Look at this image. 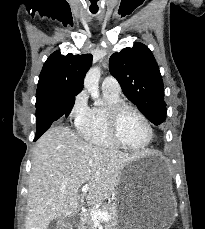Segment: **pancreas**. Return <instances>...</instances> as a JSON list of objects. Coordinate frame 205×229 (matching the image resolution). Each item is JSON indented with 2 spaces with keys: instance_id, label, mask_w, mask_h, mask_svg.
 Segmentation results:
<instances>
[{
  "instance_id": "obj_1",
  "label": "pancreas",
  "mask_w": 205,
  "mask_h": 229,
  "mask_svg": "<svg viewBox=\"0 0 205 229\" xmlns=\"http://www.w3.org/2000/svg\"><path fill=\"white\" fill-rule=\"evenodd\" d=\"M101 211L108 212L110 214V219L105 222V229H115V226L117 224V207L113 204L110 205H103L100 209ZM79 229H96L94 226V222L91 219V215L88 214Z\"/></svg>"
}]
</instances>
